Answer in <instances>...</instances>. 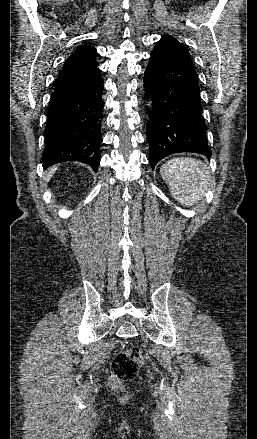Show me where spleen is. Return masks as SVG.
I'll list each match as a JSON object with an SVG mask.
<instances>
[{
    "label": "spleen",
    "mask_w": 257,
    "mask_h": 439,
    "mask_svg": "<svg viewBox=\"0 0 257 439\" xmlns=\"http://www.w3.org/2000/svg\"><path fill=\"white\" fill-rule=\"evenodd\" d=\"M172 195L184 206H193L207 191L211 175L199 160L180 157L164 163L160 169Z\"/></svg>",
    "instance_id": "3e777b00"
}]
</instances>
